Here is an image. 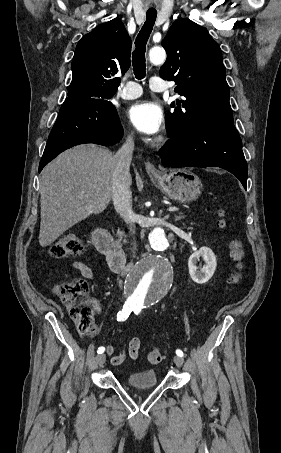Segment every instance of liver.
<instances>
[{"mask_svg": "<svg viewBox=\"0 0 281 453\" xmlns=\"http://www.w3.org/2000/svg\"><path fill=\"white\" fill-rule=\"evenodd\" d=\"M116 162L100 144L68 148L43 168L39 245L48 247L90 214H99L112 200Z\"/></svg>", "mask_w": 281, "mask_h": 453, "instance_id": "liver-1", "label": "liver"}]
</instances>
